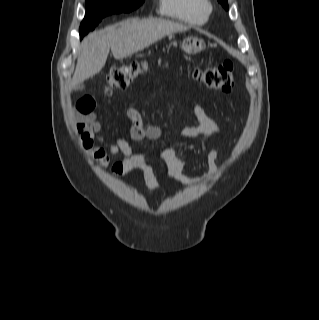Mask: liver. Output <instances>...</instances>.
<instances>
[{
	"label": "liver",
	"instance_id": "obj_1",
	"mask_svg": "<svg viewBox=\"0 0 319 320\" xmlns=\"http://www.w3.org/2000/svg\"><path fill=\"white\" fill-rule=\"evenodd\" d=\"M187 30V27L164 19H127L95 31L82 41L72 85L76 86L99 73L111 49L115 59L137 53L161 38Z\"/></svg>",
	"mask_w": 319,
	"mask_h": 320
}]
</instances>
